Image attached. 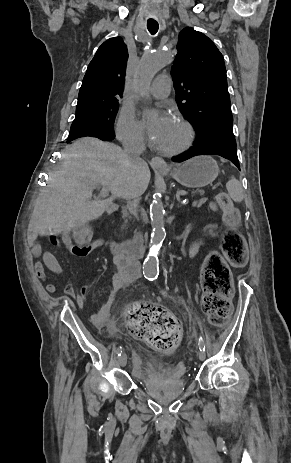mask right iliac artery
<instances>
[{"instance_id": "1", "label": "right iliac artery", "mask_w": 291, "mask_h": 463, "mask_svg": "<svg viewBox=\"0 0 291 463\" xmlns=\"http://www.w3.org/2000/svg\"><path fill=\"white\" fill-rule=\"evenodd\" d=\"M148 280H151V278H148ZM121 353H122V347L117 348L116 354H117L118 356H120Z\"/></svg>"}]
</instances>
